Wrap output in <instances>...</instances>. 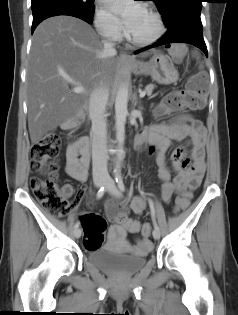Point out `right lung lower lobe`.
Returning a JSON list of instances; mask_svg holds the SVG:
<instances>
[{"instance_id": "obj_1", "label": "right lung lower lobe", "mask_w": 238, "mask_h": 315, "mask_svg": "<svg viewBox=\"0 0 238 315\" xmlns=\"http://www.w3.org/2000/svg\"><path fill=\"white\" fill-rule=\"evenodd\" d=\"M31 7L33 14L32 33L43 20L52 16L70 15L80 18L88 23L93 22L94 11L90 12L80 7L63 2H39L32 4Z\"/></svg>"}]
</instances>
